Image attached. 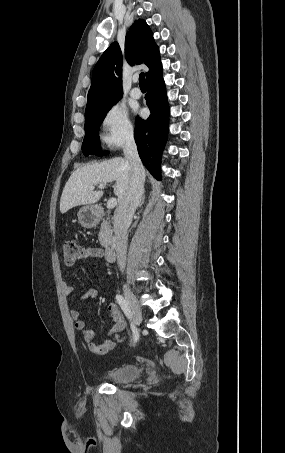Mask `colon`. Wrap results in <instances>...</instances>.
Masks as SVG:
<instances>
[{
    "label": "colon",
    "instance_id": "colon-1",
    "mask_svg": "<svg viewBox=\"0 0 285 453\" xmlns=\"http://www.w3.org/2000/svg\"><path fill=\"white\" fill-rule=\"evenodd\" d=\"M63 254L65 262L68 264H73L76 260L81 258L82 248L75 241L66 240L63 244Z\"/></svg>",
    "mask_w": 285,
    "mask_h": 453
}]
</instances>
